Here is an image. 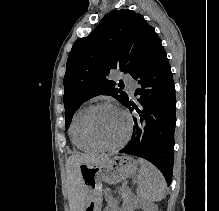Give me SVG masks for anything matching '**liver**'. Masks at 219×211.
<instances>
[{
    "mask_svg": "<svg viewBox=\"0 0 219 211\" xmlns=\"http://www.w3.org/2000/svg\"><path fill=\"white\" fill-rule=\"evenodd\" d=\"M108 155H86V153H77V155H70L67 161L68 173V199L70 211H83L85 203V193L81 179L77 177V169L79 163H99L103 159H107Z\"/></svg>",
    "mask_w": 219,
    "mask_h": 211,
    "instance_id": "6515ba94",
    "label": "liver"
}]
</instances>
